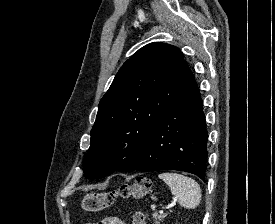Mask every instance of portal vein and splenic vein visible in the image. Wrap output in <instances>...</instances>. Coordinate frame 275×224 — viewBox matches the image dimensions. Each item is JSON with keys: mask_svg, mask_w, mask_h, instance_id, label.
Wrapping results in <instances>:
<instances>
[{"mask_svg": "<svg viewBox=\"0 0 275 224\" xmlns=\"http://www.w3.org/2000/svg\"><path fill=\"white\" fill-rule=\"evenodd\" d=\"M169 207H166V209H168ZM159 213H163V210H160Z\"/></svg>", "mask_w": 275, "mask_h": 224, "instance_id": "1", "label": "portal vein and splenic vein"}]
</instances>
